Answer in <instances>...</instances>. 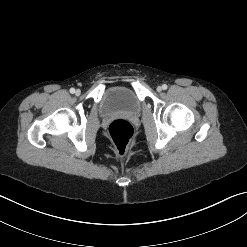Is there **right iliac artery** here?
<instances>
[{"label":"right iliac artery","instance_id":"obj_1","mask_svg":"<svg viewBox=\"0 0 247 247\" xmlns=\"http://www.w3.org/2000/svg\"><path fill=\"white\" fill-rule=\"evenodd\" d=\"M70 93H72V94L75 93V89L74 88H71L70 89Z\"/></svg>","mask_w":247,"mask_h":247}]
</instances>
